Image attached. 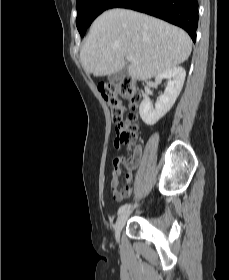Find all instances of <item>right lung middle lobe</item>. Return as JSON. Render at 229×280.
Here are the masks:
<instances>
[{
    "instance_id": "right-lung-middle-lobe-1",
    "label": "right lung middle lobe",
    "mask_w": 229,
    "mask_h": 280,
    "mask_svg": "<svg viewBox=\"0 0 229 280\" xmlns=\"http://www.w3.org/2000/svg\"><path fill=\"white\" fill-rule=\"evenodd\" d=\"M115 0H77L76 25L83 37L92 21L103 11L107 10Z\"/></svg>"
}]
</instances>
